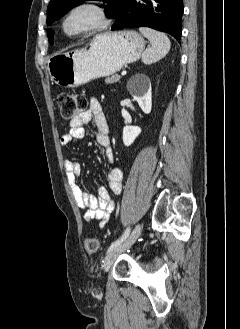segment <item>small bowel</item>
<instances>
[{
    "instance_id": "c3829d8e",
    "label": "small bowel",
    "mask_w": 240,
    "mask_h": 329,
    "mask_svg": "<svg viewBox=\"0 0 240 329\" xmlns=\"http://www.w3.org/2000/svg\"><path fill=\"white\" fill-rule=\"evenodd\" d=\"M93 122L95 125V139L105 151L109 168L107 172V187H100L96 195L89 194L78 184L81 174V165L73 159L65 161V171L68 183L76 204L85 209L84 217L87 221L94 219L100 221V227L108 222L109 214L114 210L115 202L110 193L117 195L121 191L122 172L113 163V153L109 138V128L103 113L102 105L96 98H91L87 109L80 112L70 122L68 133L61 139L62 146H68L72 141L82 139L85 135L84 126Z\"/></svg>"
}]
</instances>
